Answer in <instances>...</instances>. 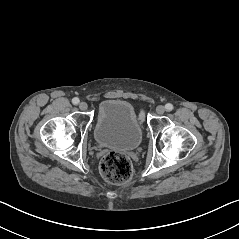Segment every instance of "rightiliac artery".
Returning a JSON list of instances; mask_svg holds the SVG:
<instances>
[{
	"mask_svg": "<svg viewBox=\"0 0 239 239\" xmlns=\"http://www.w3.org/2000/svg\"><path fill=\"white\" fill-rule=\"evenodd\" d=\"M72 103H73L74 105H77V104L79 103V98H77V97L73 98V99H72Z\"/></svg>",
	"mask_w": 239,
	"mask_h": 239,
	"instance_id": "82829eb1",
	"label": "right iliac artery"
}]
</instances>
